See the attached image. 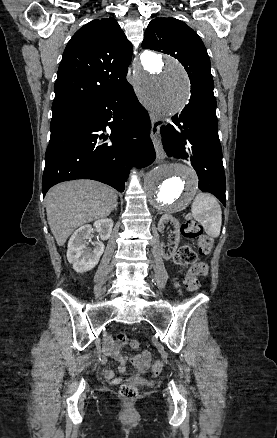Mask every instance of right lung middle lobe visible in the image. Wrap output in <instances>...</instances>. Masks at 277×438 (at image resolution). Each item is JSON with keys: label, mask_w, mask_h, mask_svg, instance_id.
<instances>
[{"label": "right lung middle lobe", "mask_w": 277, "mask_h": 438, "mask_svg": "<svg viewBox=\"0 0 277 438\" xmlns=\"http://www.w3.org/2000/svg\"><path fill=\"white\" fill-rule=\"evenodd\" d=\"M74 110H65V111H53V116L51 119V125L55 124L56 122H58L60 119H62L63 117L69 115L70 113H72Z\"/></svg>", "instance_id": "dd1d6c3e"}]
</instances>
